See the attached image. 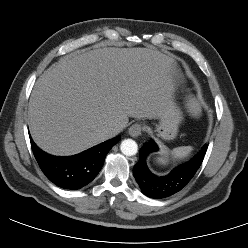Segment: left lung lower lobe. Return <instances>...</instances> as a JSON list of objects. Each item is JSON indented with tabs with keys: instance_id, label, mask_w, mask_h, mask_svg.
<instances>
[{
	"instance_id": "left-lung-lower-lobe-1",
	"label": "left lung lower lobe",
	"mask_w": 248,
	"mask_h": 248,
	"mask_svg": "<svg viewBox=\"0 0 248 248\" xmlns=\"http://www.w3.org/2000/svg\"><path fill=\"white\" fill-rule=\"evenodd\" d=\"M204 145L191 159L178 165L166 176H156L146 165L147 156L158 150L151 139L140 149V158L133 168V175L143 194L153 199L166 198L181 191L194 177L207 151Z\"/></svg>"
}]
</instances>
